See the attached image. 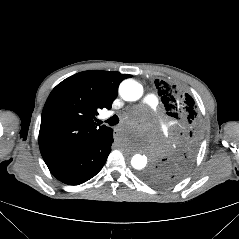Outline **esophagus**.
Returning a JSON list of instances; mask_svg holds the SVG:
<instances>
[{
  "label": "esophagus",
  "instance_id": "1",
  "mask_svg": "<svg viewBox=\"0 0 239 239\" xmlns=\"http://www.w3.org/2000/svg\"><path fill=\"white\" fill-rule=\"evenodd\" d=\"M112 137H113L114 139H119V138L121 137V132H120V130H118V129L113 130V132H112Z\"/></svg>",
  "mask_w": 239,
  "mask_h": 239
}]
</instances>
